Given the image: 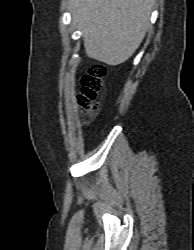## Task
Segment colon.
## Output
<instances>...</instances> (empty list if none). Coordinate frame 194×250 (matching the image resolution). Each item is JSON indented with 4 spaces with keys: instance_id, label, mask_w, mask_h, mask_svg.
Masks as SVG:
<instances>
[{
    "instance_id": "5ec220e1",
    "label": "colon",
    "mask_w": 194,
    "mask_h": 250,
    "mask_svg": "<svg viewBox=\"0 0 194 250\" xmlns=\"http://www.w3.org/2000/svg\"><path fill=\"white\" fill-rule=\"evenodd\" d=\"M107 74L106 67L93 65L81 78V91L78 104L84 114H91L96 108L103 86V78Z\"/></svg>"
}]
</instances>
